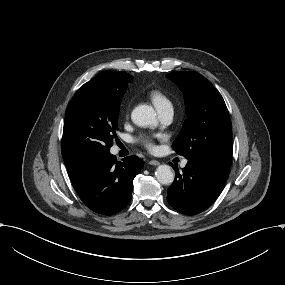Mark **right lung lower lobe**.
I'll use <instances>...</instances> for the list:
<instances>
[{"mask_svg":"<svg viewBox=\"0 0 285 285\" xmlns=\"http://www.w3.org/2000/svg\"><path fill=\"white\" fill-rule=\"evenodd\" d=\"M144 163L136 156L117 162L116 156L96 158L70 176L82 202L92 211L112 215L131 200L133 179Z\"/></svg>","mask_w":285,"mask_h":285,"instance_id":"right-lung-lower-lobe-1","label":"right lung lower lobe"}]
</instances>
